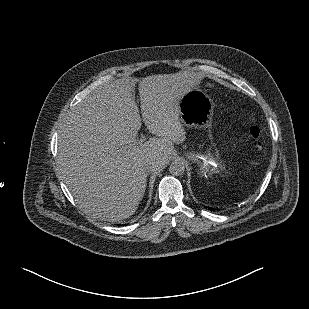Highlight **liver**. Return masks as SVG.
Returning <instances> with one entry per match:
<instances>
[{
	"instance_id": "liver-1",
	"label": "liver",
	"mask_w": 309,
	"mask_h": 309,
	"mask_svg": "<svg viewBox=\"0 0 309 309\" xmlns=\"http://www.w3.org/2000/svg\"><path fill=\"white\" fill-rule=\"evenodd\" d=\"M160 84L146 78L140 85L142 120L157 137L138 147L124 146L134 142L142 123L135 97L119 80L95 88L63 116L57 166L88 217H130L144 196L149 166H164L174 143L185 139L178 112L157 92Z\"/></svg>"
}]
</instances>
